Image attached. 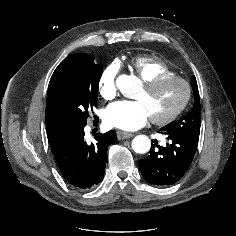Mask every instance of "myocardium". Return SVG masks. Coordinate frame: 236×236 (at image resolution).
Returning <instances> with one entry per match:
<instances>
[{
	"label": "myocardium",
	"instance_id": "1",
	"mask_svg": "<svg viewBox=\"0 0 236 236\" xmlns=\"http://www.w3.org/2000/svg\"><path fill=\"white\" fill-rule=\"evenodd\" d=\"M172 81L180 82L184 86L185 96L182 102L173 111L166 114L165 116H162V117L151 116V121L154 124L165 125L175 120L186 108L191 98V87H190V84L184 78L177 75H163L160 77H156L150 81L144 82L143 84L144 90L152 91L159 88L163 84L172 82Z\"/></svg>",
	"mask_w": 236,
	"mask_h": 236
}]
</instances>
